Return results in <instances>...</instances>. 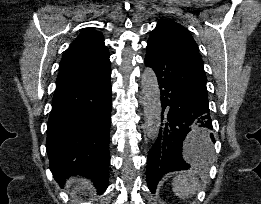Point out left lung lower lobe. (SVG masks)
<instances>
[{"mask_svg":"<svg viewBox=\"0 0 261 204\" xmlns=\"http://www.w3.org/2000/svg\"><path fill=\"white\" fill-rule=\"evenodd\" d=\"M145 65L158 77L162 106V127L147 159V183L154 193L165 173L189 169L185 158L204 154L199 140H215L203 63L172 40L150 37Z\"/></svg>","mask_w":261,"mask_h":204,"instance_id":"0a47b994","label":"left lung lower lobe"}]
</instances>
